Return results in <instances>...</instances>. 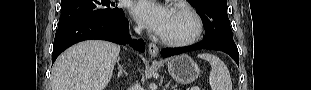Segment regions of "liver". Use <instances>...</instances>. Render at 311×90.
<instances>
[{"instance_id":"1","label":"liver","mask_w":311,"mask_h":90,"mask_svg":"<svg viewBox=\"0 0 311 90\" xmlns=\"http://www.w3.org/2000/svg\"><path fill=\"white\" fill-rule=\"evenodd\" d=\"M120 46L101 40L80 42L63 52L52 68V90H105Z\"/></svg>"}]
</instances>
